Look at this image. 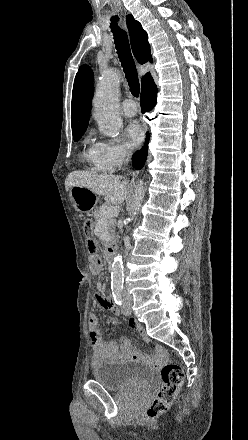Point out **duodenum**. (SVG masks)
<instances>
[{"label": "duodenum", "mask_w": 248, "mask_h": 440, "mask_svg": "<svg viewBox=\"0 0 248 440\" xmlns=\"http://www.w3.org/2000/svg\"><path fill=\"white\" fill-rule=\"evenodd\" d=\"M116 253V246L114 244H109L107 247V256L110 261L113 260Z\"/></svg>", "instance_id": "1"}]
</instances>
